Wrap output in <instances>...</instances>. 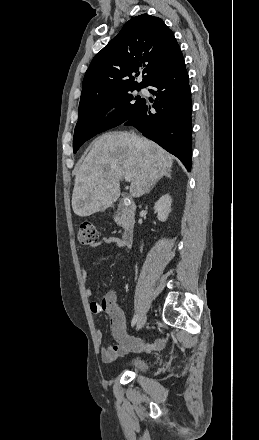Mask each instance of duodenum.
<instances>
[{
	"label": "duodenum",
	"mask_w": 259,
	"mask_h": 440,
	"mask_svg": "<svg viewBox=\"0 0 259 440\" xmlns=\"http://www.w3.org/2000/svg\"><path fill=\"white\" fill-rule=\"evenodd\" d=\"M136 206L130 202L121 210V215L125 221L122 239L127 246H131L134 240V214Z\"/></svg>",
	"instance_id": "duodenum-1"
}]
</instances>
